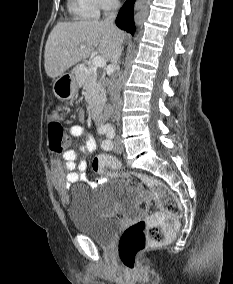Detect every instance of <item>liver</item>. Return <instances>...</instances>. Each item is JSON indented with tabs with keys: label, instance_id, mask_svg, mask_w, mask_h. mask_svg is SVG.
Segmentation results:
<instances>
[{
	"label": "liver",
	"instance_id": "liver-1",
	"mask_svg": "<svg viewBox=\"0 0 233 284\" xmlns=\"http://www.w3.org/2000/svg\"><path fill=\"white\" fill-rule=\"evenodd\" d=\"M124 37L120 29L105 21L59 22L45 45L46 74L50 78L62 75L71 66L95 53V48L104 60L110 61L118 42Z\"/></svg>",
	"mask_w": 233,
	"mask_h": 284
}]
</instances>
